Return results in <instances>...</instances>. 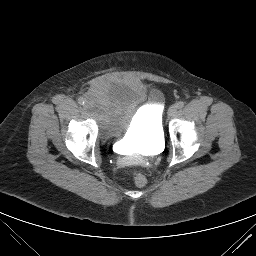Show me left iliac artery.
Listing matches in <instances>:
<instances>
[{"label": "left iliac artery", "mask_w": 256, "mask_h": 256, "mask_svg": "<svg viewBox=\"0 0 256 256\" xmlns=\"http://www.w3.org/2000/svg\"><path fill=\"white\" fill-rule=\"evenodd\" d=\"M184 107V102L183 101H179L178 103H177V108H183Z\"/></svg>", "instance_id": "1"}]
</instances>
